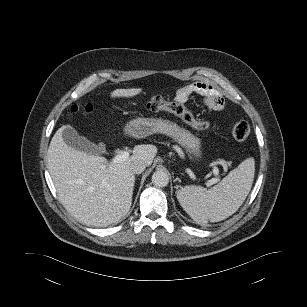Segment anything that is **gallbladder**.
I'll list each match as a JSON object with an SVG mask.
<instances>
[{
  "instance_id": "obj_1",
  "label": "gallbladder",
  "mask_w": 307,
  "mask_h": 307,
  "mask_svg": "<svg viewBox=\"0 0 307 307\" xmlns=\"http://www.w3.org/2000/svg\"><path fill=\"white\" fill-rule=\"evenodd\" d=\"M62 137L64 142L75 150L91 155H99L105 152V148L103 146H97L87 138L80 136L70 125L63 127Z\"/></svg>"
}]
</instances>
